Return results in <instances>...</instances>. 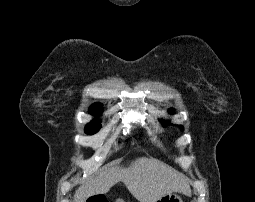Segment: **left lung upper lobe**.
Returning <instances> with one entry per match:
<instances>
[{
    "mask_svg": "<svg viewBox=\"0 0 255 202\" xmlns=\"http://www.w3.org/2000/svg\"><path fill=\"white\" fill-rule=\"evenodd\" d=\"M169 112H170V113H174L173 110H169ZM168 124H170V123H169V122L162 121V125H163V126H167ZM180 128H181V130H183V127H182V126H180Z\"/></svg>",
    "mask_w": 255,
    "mask_h": 202,
    "instance_id": "obj_1",
    "label": "left lung upper lobe"
}]
</instances>
